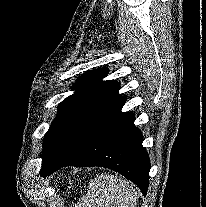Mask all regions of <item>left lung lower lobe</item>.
Returning a JSON list of instances; mask_svg holds the SVG:
<instances>
[{"label": "left lung lower lobe", "mask_w": 206, "mask_h": 207, "mask_svg": "<svg viewBox=\"0 0 206 207\" xmlns=\"http://www.w3.org/2000/svg\"><path fill=\"white\" fill-rule=\"evenodd\" d=\"M125 102L126 97H121L95 123L77 151L54 163L46 175L64 166H101L122 174L146 195L150 160L142 146V133L134 126V114L121 112Z\"/></svg>", "instance_id": "left-lung-lower-lobe-1"}]
</instances>
